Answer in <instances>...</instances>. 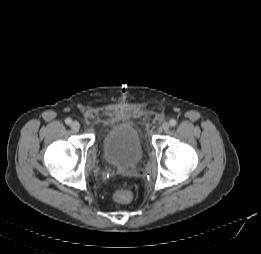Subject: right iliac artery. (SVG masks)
Masks as SVG:
<instances>
[{
  "instance_id": "obj_1",
  "label": "right iliac artery",
  "mask_w": 261,
  "mask_h": 254,
  "mask_svg": "<svg viewBox=\"0 0 261 254\" xmlns=\"http://www.w3.org/2000/svg\"><path fill=\"white\" fill-rule=\"evenodd\" d=\"M71 122H72V120H71L70 118H67V119L65 120V123L68 124V125H70Z\"/></svg>"
}]
</instances>
